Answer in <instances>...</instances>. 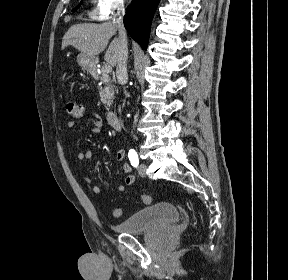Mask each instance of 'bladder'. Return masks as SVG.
<instances>
[{
	"label": "bladder",
	"mask_w": 288,
	"mask_h": 280,
	"mask_svg": "<svg viewBox=\"0 0 288 280\" xmlns=\"http://www.w3.org/2000/svg\"><path fill=\"white\" fill-rule=\"evenodd\" d=\"M181 218L178 208L171 203L161 202L151 205L114 226L119 233L138 234L162 229L178 222Z\"/></svg>",
	"instance_id": "obj_1"
}]
</instances>
